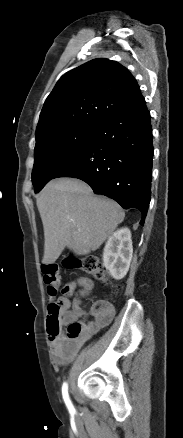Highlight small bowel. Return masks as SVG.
Wrapping results in <instances>:
<instances>
[{
  "label": "small bowel",
  "mask_w": 183,
  "mask_h": 438,
  "mask_svg": "<svg viewBox=\"0 0 183 438\" xmlns=\"http://www.w3.org/2000/svg\"><path fill=\"white\" fill-rule=\"evenodd\" d=\"M77 287L80 288V293L84 296L92 291L93 282L86 277H80L70 283L66 289L71 292ZM85 315H87V312L78 303L72 307L68 304L63 313L62 325H67L71 321ZM89 315L93 317V320L83 325L82 334L78 338L68 339L61 331L57 335L49 334L52 355L58 364L62 365L70 362L90 337L106 327L114 316V308L109 302L99 300L93 303L89 310Z\"/></svg>",
  "instance_id": "obj_1"
}]
</instances>
